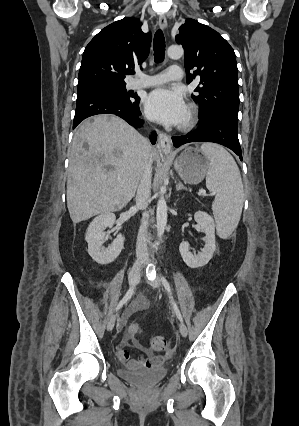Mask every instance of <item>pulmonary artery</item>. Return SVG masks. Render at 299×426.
Returning a JSON list of instances; mask_svg holds the SVG:
<instances>
[{
	"mask_svg": "<svg viewBox=\"0 0 299 426\" xmlns=\"http://www.w3.org/2000/svg\"><path fill=\"white\" fill-rule=\"evenodd\" d=\"M183 77L182 69L177 65L170 66L167 70L156 75H140L131 83L132 88H145L164 84L168 81H179Z\"/></svg>",
	"mask_w": 299,
	"mask_h": 426,
	"instance_id": "1",
	"label": "pulmonary artery"
}]
</instances>
